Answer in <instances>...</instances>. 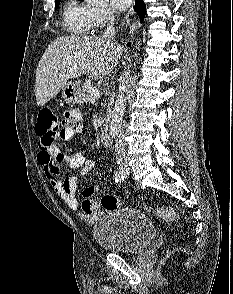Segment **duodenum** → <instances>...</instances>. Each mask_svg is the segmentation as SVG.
I'll return each mask as SVG.
<instances>
[{
	"label": "duodenum",
	"mask_w": 233,
	"mask_h": 294,
	"mask_svg": "<svg viewBox=\"0 0 233 294\" xmlns=\"http://www.w3.org/2000/svg\"><path fill=\"white\" fill-rule=\"evenodd\" d=\"M101 142L104 146H110L112 143L111 136L107 130H102L100 133Z\"/></svg>",
	"instance_id": "obj_1"
}]
</instances>
